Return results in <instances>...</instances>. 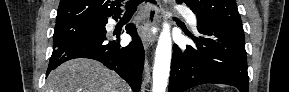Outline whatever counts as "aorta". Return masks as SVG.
<instances>
[{
	"instance_id": "obj_1",
	"label": "aorta",
	"mask_w": 289,
	"mask_h": 92,
	"mask_svg": "<svg viewBox=\"0 0 289 92\" xmlns=\"http://www.w3.org/2000/svg\"><path fill=\"white\" fill-rule=\"evenodd\" d=\"M172 40L170 25L163 23V29L158 39L153 69V92H165L170 72Z\"/></svg>"
}]
</instances>
